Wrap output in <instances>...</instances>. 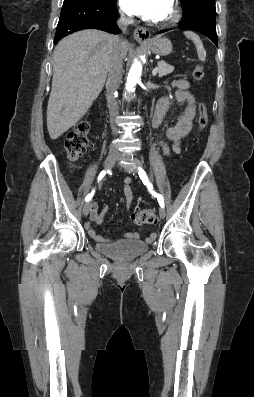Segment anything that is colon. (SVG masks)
I'll list each match as a JSON object with an SVG mask.
<instances>
[{
  "instance_id": "5ec220e1",
  "label": "colon",
  "mask_w": 254,
  "mask_h": 397,
  "mask_svg": "<svg viewBox=\"0 0 254 397\" xmlns=\"http://www.w3.org/2000/svg\"><path fill=\"white\" fill-rule=\"evenodd\" d=\"M192 76L196 81H201L204 77L203 68L197 65ZM208 124V113L205 103H200L198 108V130L203 131ZM90 124L83 119L76 123L69 131L64 146L67 157L71 162L77 161L86 151L89 145L88 134ZM132 220L137 225L155 224L158 221L156 212L152 209H138L132 214Z\"/></svg>"
}]
</instances>
